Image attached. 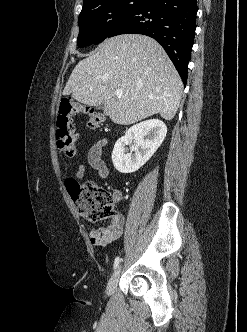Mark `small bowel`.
Here are the masks:
<instances>
[{"mask_svg": "<svg viewBox=\"0 0 247 332\" xmlns=\"http://www.w3.org/2000/svg\"><path fill=\"white\" fill-rule=\"evenodd\" d=\"M106 144V140L102 139L95 144L89 151V163L97 170L100 178L105 179L109 170L102 160V148ZM85 168L83 165L78 167L76 177L81 179L84 176ZM112 198L115 204H118L122 199V193L120 190H114L112 192ZM125 225V217L122 214H116L111 219V222L106 227L92 228L89 231V238L95 246H105L115 240H117L123 233Z\"/></svg>", "mask_w": 247, "mask_h": 332, "instance_id": "obj_1", "label": "small bowel"}]
</instances>
